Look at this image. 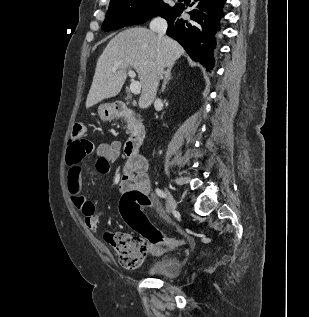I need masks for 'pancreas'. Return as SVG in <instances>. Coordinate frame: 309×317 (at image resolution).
Here are the masks:
<instances>
[{"label": "pancreas", "mask_w": 309, "mask_h": 317, "mask_svg": "<svg viewBox=\"0 0 309 317\" xmlns=\"http://www.w3.org/2000/svg\"><path fill=\"white\" fill-rule=\"evenodd\" d=\"M126 128H127V131H126V132L129 133V127L127 126Z\"/></svg>", "instance_id": "1"}]
</instances>
